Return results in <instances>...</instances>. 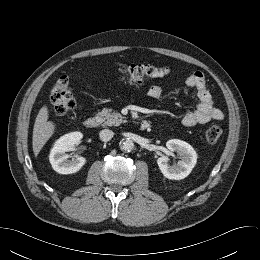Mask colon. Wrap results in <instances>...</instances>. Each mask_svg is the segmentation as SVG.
I'll list each match as a JSON object with an SVG mask.
<instances>
[{"label": "colon", "instance_id": "obj_1", "mask_svg": "<svg viewBox=\"0 0 260 260\" xmlns=\"http://www.w3.org/2000/svg\"><path fill=\"white\" fill-rule=\"evenodd\" d=\"M118 69L123 79L135 84L148 81L156 71L155 67L149 64L120 65ZM50 102L59 114H65L77 107L67 76H61L55 82L50 93ZM223 132L221 125L212 124L206 129L205 138L209 144H215L222 137Z\"/></svg>", "mask_w": 260, "mask_h": 260}]
</instances>
